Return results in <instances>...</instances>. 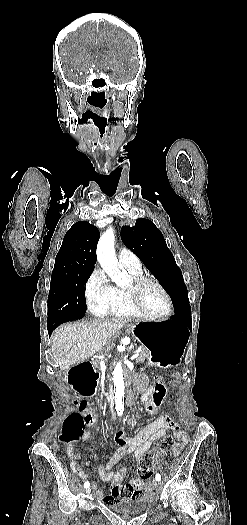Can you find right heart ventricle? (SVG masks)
<instances>
[{
    "label": "right heart ventricle",
    "instance_id": "obj_1",
    "mask_svg": "<svg viewBox=\"0 0 247 525\" xmlns=\"http://www.w3.org/2000/svg\"><path fill=\"white\" fill-rule=\"evenodd\" d=\"M123 270L128 275V280L130 278H139L143 275L140 262L136 258L135 265H127L120 261ZM117 295H120L122 292L119 289H115ZM102 317H147L143 313H140L134 305H123V304H113Z\"/></svg>",
    "mask_w": 247,
    "mask_h": 525
}]
</instances>
